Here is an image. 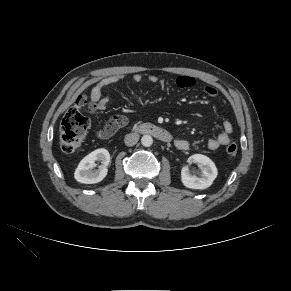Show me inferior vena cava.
<instances>
[{
	"mask_svg": "<svg viewBox=\"0 0 291 291\" xmlns=\"http://www.w3.org/2000/svg\"><path fill=\"white\" fill-rule=\"evenodd\" d=\"M139 140V134L138 133H130L125 136L124 142L127 146H133L135 145Z\"/></svg>",
	"mask_w": 291,
	"mask_h": 291,
	"instance_id": "602c4592",
	"label": "inferior vena cava"
}]
</instances>
